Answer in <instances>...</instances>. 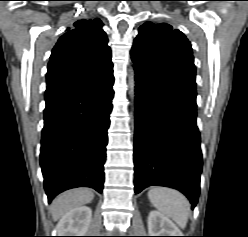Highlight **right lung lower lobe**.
<instances>
[{
    "mask_svg": "<svg viewBox=\"0 0 248 237\" xmlns=\"http://www.w3.org/2000/svg\"><path fill=\"white\" fill-rule=\"evenodd\" d=\"M113 82L111 68L88 80L46 89L40 164L49 203L71 188L102 192Z\"/></svg>",
    "mask_w": 248,
    "mask_h": 237,
    "instance_id": "1",
    "label": "right lung lower lobe"
}]
</instances>
